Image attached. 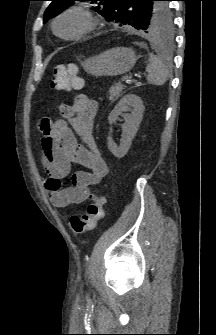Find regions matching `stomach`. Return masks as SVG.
<instances>
[{
  "label": "stomach",
  "instance_id": "1",
  "mask_svg": "<svg viewBox=\"0 0 216 335\" xmlns=\"http://www.w3.org/2000/svg\"><path fill=\"white\" fill-rule=\"evenodd\" d=\"M137 56L132 48L115 47L85 60L81 65L93 76H117L135 65Z\"/></svg>",
  "mask_w": 216,
  "mask_h": 335
}]
</instances>
